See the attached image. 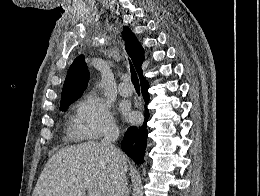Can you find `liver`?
<instances>
[{"label": "liver", "mask_w": 260, "mask_h": 196, "mask_svg": "<svg viewBox=\"0 0 260 196\" xmlns=\"http://www.w3.org/2000/svg\"><path fill=\"white\" fill-rule=\"evenodd\" d=\"M118 168L98 142L61 148L45 164L32 196H86L88 188L110 196Z\"/></svg>", "instance_id": "1"}]
</instances>
